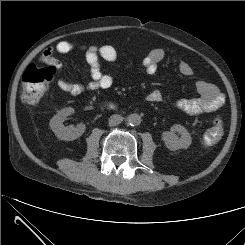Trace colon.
I'll list each match as a JSON object with an SVG mask.
<instances>
[{
	"label": "colon",
	"mask_w": 245,
	"mask_h": 245,
	"mask_svg": "<svg viewBox=\"0 0 245 245\" xmlns=\"http://www.w3.org/2000/svg\"><path fill=\"white\" fill-rule=\"evenodd\" d=\"M53 77V72L47 67H37L29 65L22 78V100L27 104H35L46 92L49 83ZM224 132V119L217 115L213 119L212 126L203 136L206 145L216 144L222 137Z\"/></svg>",
	"instance_id": "5ec220e1"
}]
</instances>
